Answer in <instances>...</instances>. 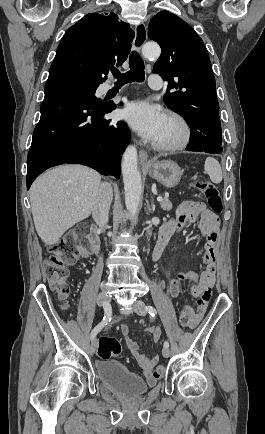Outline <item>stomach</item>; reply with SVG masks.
Here are the masks:
<instances>
[{"label": "stomach", "mask_w": 265, "mask_h": 434, "mask_svg": "<svg viewBox=\"0 0 265 434\" xmlns=\"http://www.w3.org/2000/svg\"><path fill=\"white\" fill-rule=\"evenodd\" d=\"M144 168L151 178H154L166 188H174L181 180V168L172 160H162V162L149 164Z\"/></svg>", "instance_id": "0dacf381"}]
</instances>
